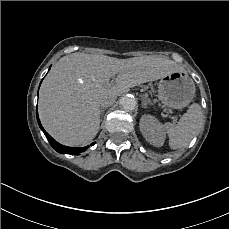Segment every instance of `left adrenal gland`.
<instances>
[{
	"label": "left adrenal gland",
	"mask_w": 229,
	"mask_h": 229,
	"mask_svg": "<svg viewBox=\"0 0 229 229\" xmlns=\"http://www.w3.org/2000/svg\"><path fill=\"white\" fill-rule=\"evenodd\" d=\"M143 107H146V104L145 103H142Z\"/></svg>",
	"instance_id": "1"
}]
</instances>
